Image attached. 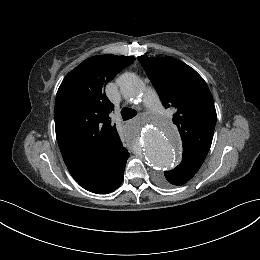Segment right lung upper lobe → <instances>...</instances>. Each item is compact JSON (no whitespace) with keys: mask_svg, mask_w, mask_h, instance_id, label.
<instances>
[{"mask_svg":"<svg viewBox=\"0 0 260 260\" xmlns=\"http://www.w3.org/2000/svg\"><path fill=\"white\" fill-rule=\"evenodd\" d=\"M135 60L105 54L84 60L62 81L55 101V129L64 162L78 182L112 165L127 151L111 124L107 82Z\"/></svg>","mask_w":260,"mask_h":260,"instance_id":"cb5924a9","label":"right lung upper lobe"}]
</instances>
